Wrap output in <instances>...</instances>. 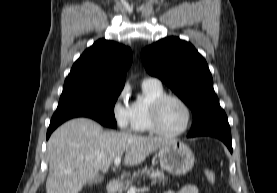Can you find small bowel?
<instances>
[{"mask_svg":"<svg viewBox=\"0 0 277 193\" xmlns=\"http://www.w3.org/2000/svg\"><path fill=\"white\" fill-rule=\"evenodd\" d=\"M164 193H200V191L197 186L190 184V185L183 186L177 191L168 190V191H165Z\"/></svg>","mask_w":277,"mask_h":193,"instance_id":"small-bowel-1","label":"small bowel"}]
</instances>
